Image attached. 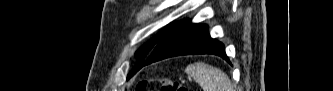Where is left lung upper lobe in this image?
I'll list each match as a JSON object with an SVG mask.
<instances>
[{
    "instance_id": "5c2ea615",
    "label": "left lung upper lobe",
    "mask_w": 333,
    "mask_h": 91,
    "mask_svg": "<svg viewBox=\"0 0 333 91\" xmlns=\"http://www.w3.org/2000/svg\"><path fill=\"white\" fill-rule=\"evenodd\" d=\"M174 23L167 25L162 31H160L156 36H154L149 42L141 46L137 52V65L132 70V72L128 75L127 78L132 77L139 69L140 65L144 62L150 52L154 49L157 43L161 40V38L165 35V33L171 28Z\"/></svg>"
}]
</instances>
